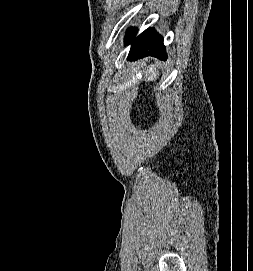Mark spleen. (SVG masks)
I'll return each instance as SVG.
<instances>
[{"label":"spleen","mask_w":253,"mask_h":271,"mask_svg":"<svg viewBox=\"0 0 253 271\" xmlns=\"http://www.w3.org/2000/svg\"><path fill=\"white\" fill-rule=\"evenodd\" d=\"M158 65H150L144 73V77L147 81H155L159 76V71L157 70Z\"/></svg>","instance_id":"1"}]
</instances>
